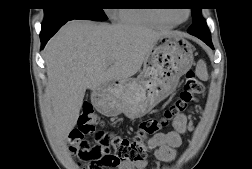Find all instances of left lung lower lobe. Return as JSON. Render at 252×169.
Here are the masks:
<instances>
[{
	"label": "left lung lower lobe",
	"mask_w": 252,
	"mask_h": 169,
	"mask_svg": "<svg viewBox=\"0 0 252 169\" xmlns=\"http://www.w3.org/2000/svg\"><path fill=\"white\" fill-rule=\"evenodd\" d=\"M188 32L191 35H194V36L198 37L199 39L203 40L207 45H209L212 49H214L213 45H212V41H211V36H210L209 30H202V31H198V32H195V31H192V30H188Z\"/></svg>",
	"instance_id": "1"
}]
</instances>
